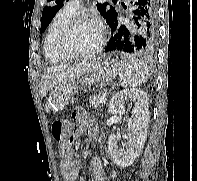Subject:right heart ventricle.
<instances>
[{
  "label": "right heart ventricle",
  "instance_id": "right-heart-ventricle-1",
  "mask_svg": "<svg viewBox=\"0 0 197 181\" xmlns=\"http://www.w3.org/2000/svg\"><path fill=\"white\" fill-rule=\"evenodd\" d=\"M75 15V12L65 7L52 19L44 41V57L47 62L55 64L64 61L62 56L58 53L56 42L64 25Z\"/></svg>",
  "mask_w": 197,
  "mask_h": 181
}]
</instances>
